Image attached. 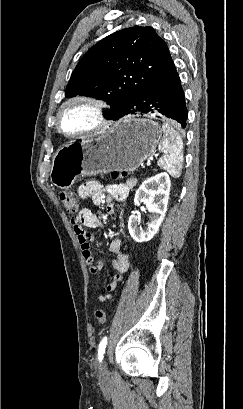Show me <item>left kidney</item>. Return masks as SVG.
I'll use <instances>...</instances> for the list:
<instances>
[{"label":"left kidney","mask_w":243,"mask_h":409,"mask_svg":"<svg viewBox=\"0 0 243 409\" xmlns=\"http://www.w3.org/2000/svg\"><path fill=\"white\" fill-rule=\"evenodd\" d=\"M171 181L167 173H159L145 180L136 191L134 204L146 203L151 213L147 228L139 226L140 218L133 214L128 221L131 237L138 243L151 240L159 230L167 211Z\"/></svg>","instance_id":"5707ae66"}]
</instances>
